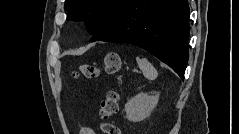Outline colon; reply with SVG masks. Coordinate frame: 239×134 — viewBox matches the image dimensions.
<instances>
[{"label":"colon","instance_id":"obj_1","mask_svg":"<svg viewBox=\"0 0 239 134\" xmlns=\"http://www.w3.org/2000/svg\"><path fill=\"white\" fill-rule=\"evenodd\" d=\"M122 68V61L118 53H107L104 59V69L107 73H116ZM81 74L85 78L95 79L99 76V69L92 64H82L79 66L75 75ZM119 94L111 90L107 92L99 106V115L102 119H108L115 115L119 109ZM101 130L104 134H121L120 128L112 123L101 124Z\"/></svg>","mask_w":239,"mask_h":134}]
</instances>
